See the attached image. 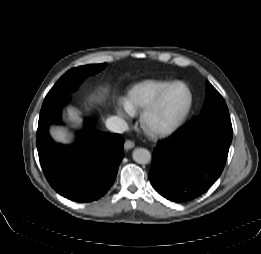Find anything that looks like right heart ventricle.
Segmentation results:
<instances>
[{"label":"right heart ventricle","instance_id":"e07e8e85","mask_svg":"<svg viewBox=\"0 0 261 254\" xmlns=\"http://www.w3.org/2000/svg\"><path fill=\"white\" fill-rule=\"evenodd\" d=\"M170 83L168 81L147 80L133 86L126 101L129 110L132 114L143 111L157 99Z\"/></svg>","mask_w":261,"mask_h":254}]
</instances>
